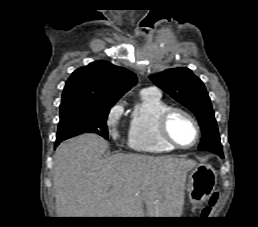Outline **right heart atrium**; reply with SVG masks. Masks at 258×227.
Here are the masks:
<instances>
[{
  "label": "right heart atrium",
  "mask_w": 258,
  "mask_h": 227,
  "mask_svg": "<svg viewBox=\"0 0 258 227\" xmlns=\"http://www.w3.org/2000/svg\"><path fill=\"white\" fill-rule=\"evenodd\" d=\"M122 113H123V105L121 103H118L112 107V109L108 114L106 125L109 130V133L112 136H116L117 134V128H118Z\"/></svg>",
  "instance_id": "right-heart-atrium-1"
}]
</instances>
